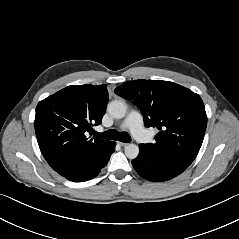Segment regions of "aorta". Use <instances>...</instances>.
Returning <instances> with one entry per match:
<instances>
[{
	"label": "aorta",
	"instance_id": "obj_1",
	"mask_svg": "<svg viewBox=\"0 0 239 239\" xmlns=\"http://www.w3.org/2000/svg\"><path fill=\"white\" fill-rule=\"evenodd\" d=\"M108 113L116 119H121L126 115V104L119 100L111 101L107 106ZM139 154V147L130 143L125 147V155L129 159H135Z\"/></svg>",
	"mask_w": 239,
	"mask_h": 239
}]
</instances>
